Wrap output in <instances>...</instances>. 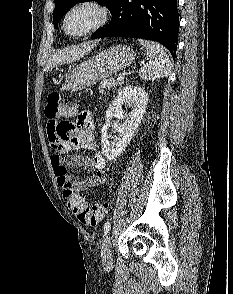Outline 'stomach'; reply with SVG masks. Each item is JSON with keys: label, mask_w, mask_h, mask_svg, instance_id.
<instances>
[{"label": "stomach", "mask_w": 233, "mask_h": 294, "mask_svg": "<svg viewBox=\"0 0 233 294\" xmlns=\"http://www.w3.org/2000/svg\"><path fill=\"white\" fill-rule=\"evenodd\" d=\"M135 59L134 50L127 45H116L80 63L66 75L63 89L80 91L112 74L125 69Z\"/></svg>", "instance_id": "stomach-1"}]
</instances>
